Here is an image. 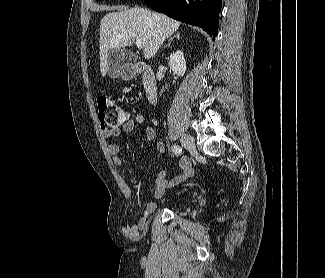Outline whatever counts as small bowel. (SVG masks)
<instances>
[{
    "mask_svg": "<svg viewBox=\"0 0 325 278\" xmlns=\"http://www.w3.org/2000/svg\"><path fill=\"white\" fill-rule=\"evenodd\" d=\"M145 125V142L151 143L156 136V131L154 126L147 122L146 117L143 114H136L134 118L128 119L124 124H122L119 128L114 130H105L103 131V136L106 138L109 137H118L122 132L129 133L134 130L136 126ZM156 147L159 152H164V143L162 141H158ZM108 152L112 156L113 163L115 165H121L122 159L121 154L123 149L121 145L112 143L108 145ZM193 175V166L190 160L187 157L181 158L179 162V173L172 179L167 178V172L165 170H161L158 173V176L155 181V189H154V197L161 198L166 189L173 187ZM155 207V203L150 202L147 205V209L151 210Z\"/></svg>",
    "mask_w": 325,
    "mask_h": 278,
    "instance_id": "obj_1",
    "label": "small bowel"
}]
</instances>
